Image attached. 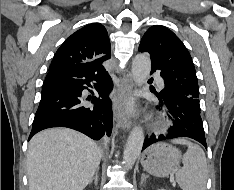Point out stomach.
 Segmentation results:
<instances>
[{
    "instance_id": "obj_1",
    "label": "stomach",
    "mask_w": 234,
    "mask_h": 190,
    "mask_svg": "<svg viewBox=\"0 0 234 190\" xmlns=\"http://www.w3.org/2000/svg\"><path fill=\"white\" fill-rule=\"evenodd\" d=\"M181 152L168 143H157L142 155L141 164L147 172L157 177H166L179 165Z\"/></svg>"
}]
</instances>
